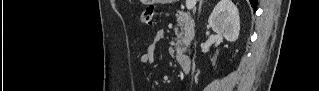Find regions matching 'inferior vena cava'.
<instances>
[{
  "label": "inferior vena cava",
  "mask_w": 319,
  "mask_h": 91,
  "mask_svg": "<svg viewBox=\"0 0 319 91\" xmlns=\"http://www.w3.org/2000/svg\"><path fill=\"white\" fill-rule=\"evenodd\" d=\"M201 4H202V1H200V6H201Z\"/></svg>",
  "instance_id": "obj_1"
}]
</instances>
